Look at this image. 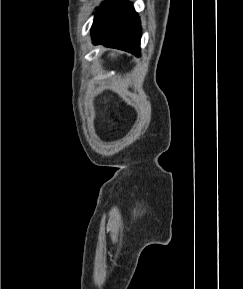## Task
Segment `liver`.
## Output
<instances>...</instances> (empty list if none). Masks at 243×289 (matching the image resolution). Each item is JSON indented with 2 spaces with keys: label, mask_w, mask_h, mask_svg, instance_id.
Here are the masks:
<instances>
[{
  "label": "liver",
  "mask_w": 243,
  "mask_h": 289,
  "mask_svg": "<svg viewBox=\"0 0 243 289\" xmlns=\"http://www.w3.org/2000/svg\"><path fill=\"white\" fill-rule=\"evenodd\" d=\"M115 54L114 53H111V56L113 57Z\"/></svg>",
  "instance_id": "1"
}]
</instances>
